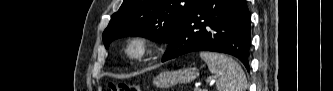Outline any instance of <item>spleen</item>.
Wrapping results in <instances>:
<instances>
[{"instance_id": "spleen-1", "label": "spleen", "mask_w": 333, "mask_h": 91, "mask_svg": "<svg viewBox=\"0 0 333 91\" xmlns=\"http://www.w3.org/2000/svg\"><path fill=\"white\" fill-rule=\"evenodd\" d=\"M212 74L217 77L218 91H245L247 80L241 66L231 57L215 52H200Z\"/></svg>"}]
</instances>
